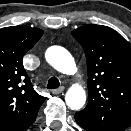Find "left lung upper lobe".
I'll return each mask as SVG.
<instances>
[{
  "instance_id": "obj_1",
  "label": "left lung upper lobe",
  "mask_w": 131,
  "mask_h": 131,
  "mask_svg": "<svg viewBox=\"0 0 131 131\" xmlns=\"http://www.w3.org/2000/svg\"><path fill=\"white\" fill-rule=\"evenodd\" d=\"M82 45L88 71V104L76 115L92 131H124L131 125V45L107 26L72 31Z\"/></svg>"
}]
</instances>
